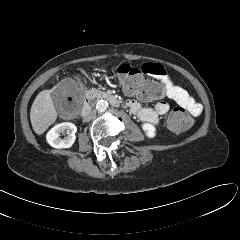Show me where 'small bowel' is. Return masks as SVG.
Listing matches in <instances>:
<instances>
[{"label":"small bowel","instance_id":"1","mask_svg":"<svg viewBox=\"0 0 240 240\" xmlns=\"http://www.w3.org/2000/svg\"><path fill=\"white\" fill-rule=\"evenodd\" d=\"M140 69L145 75L155 78L164 85L166 97L168 99L189 111L193 116L200 115L202 112L201 104L198 103L184 88L175 85L162 65L157 63H145ZM127 105L139 120L152 125H158L160 117L165 115L170 109V106L166 101H159L154 107H146L136 100H129Z\"/></svg>","mask_w":240,"mask_h":240}]
</instances>
